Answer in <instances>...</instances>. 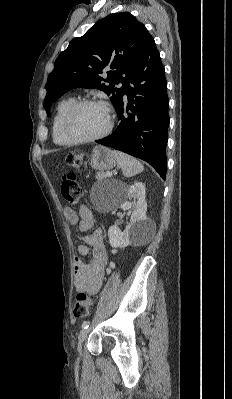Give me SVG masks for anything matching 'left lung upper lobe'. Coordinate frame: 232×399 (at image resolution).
Listing matches in <instances>:
<instances>
[{"label":"left lung upper lobe","instance_id":"1","mask_svg":"<svg viewBox=\"0 0 232 399\" xmlns=\"http://www.w3.org/2000/svg\"><path fill=\"white\" fill-rule=\"evenodd\" d=\"M151 39L142 23L129 12H121L100 19L82 37L71 40L48 76L44 99L47 115L50 116L51 105L61 95L77 87L98 88L111 95L117 110L126 81ZM104 69H110L107 79L100 75ZM120 82L122 87L115 88Z\"/></svg>","mask_w":232,"mask_h":399}]
</instances>
